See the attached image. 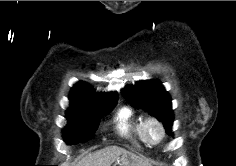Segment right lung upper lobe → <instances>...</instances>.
<instances>
[{
	"mask_svg": "<svg viewBox=\"0 0 236 166\" xmlns=\"http://www.w3.org/2000/svg\"><path fill=\"white\" fill-rule=\"evenodd\" d=\"M117 92L100 93L85 82H78L70 92L71 106L89 109H105L116 104Z\"/></svg>",
	"mask_w": 236,
	"mask_h": 166,
	"instance_id": "cb5924a9",
	"label": "right lung upper lobe"
}]
</instances>
